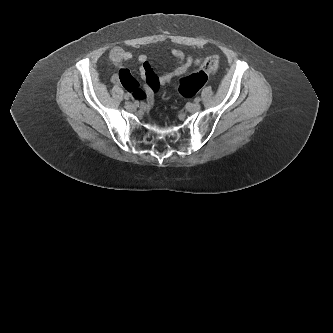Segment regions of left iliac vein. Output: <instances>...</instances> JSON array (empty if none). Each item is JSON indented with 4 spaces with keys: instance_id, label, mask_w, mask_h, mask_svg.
Returning a JSON list of instances; mask_svg holds the SVG:
<instances>
[{
    "instance_id": "obj_1",
    "label": "left iliac vein",
    "mask_w": 333,
    "mask_h": 333,
    "mask_svg": "<svg viewBox=\"0 0 333 333\" xmlns=\"http://www.w3.org/2000/svg\"><path fill=\"white\" fill-rule=\"evenodd\" d=\"M201 106L199 103H192L188 106V111L191 113L198 112L200 110Z\"/></svg>"
}]
</instances>
